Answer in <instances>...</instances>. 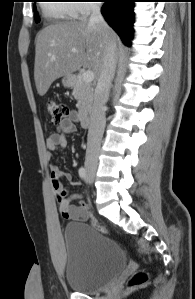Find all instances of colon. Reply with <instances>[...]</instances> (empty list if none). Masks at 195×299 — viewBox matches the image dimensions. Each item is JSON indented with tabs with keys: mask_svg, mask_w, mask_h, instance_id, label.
I'll list each match as a JSON object with an SVG mask.
<instances>
[{
	"mask_svg": "<svg viewBox=\"0 0 195 299\" xmlns=\"http://www.w3.org/2000/svg\"><path fill=\"white\" fill-rule=\"evenodd\" d=\"M47 112L50 115L51 122L53 124H59L69 115V107L66 103L58 101H48L46 104ZM57 184V183H56ZM58 186V184H57ZM58 196L61 194L58 193ZM80 213L88 220L92 226L100 232H107V229L101 225L88 211L86 206H81ZM147 275L144 272H137L129 280L130 287H139L147 282Z\"/></svg>",
	"mask_w": 195,
	"mask_h": 299,
	"instance_id": "5ec220e1",
	"label": "colon"
}]
</instances>
